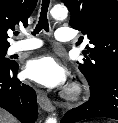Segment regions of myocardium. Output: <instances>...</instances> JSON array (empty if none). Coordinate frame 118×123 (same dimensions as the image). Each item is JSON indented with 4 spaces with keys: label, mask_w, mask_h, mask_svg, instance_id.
<instances>
[{
    "label": "myocardium",
    "mask_w": 118,
    "mask_h": 123,
    "mask_svg": "<svg viewBox=\"0 0 118 123\" xmlns=\"http://www.w3.org/2000/svg\"><path fill=\"white\" fill-rule=\"evenodd\" d=\"M84 92V87L81 84L75 83L71 85L65 92L64 97L68 100H77Z\"/></svg>",
    "instance_id": "myocardium-1"
}]
</instances>
